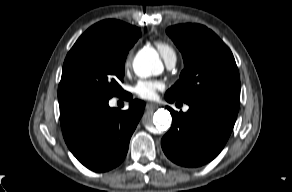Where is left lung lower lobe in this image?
Instances as JSON below:
<instances>
[{
	"instance_id": "left-lung-lower-lobe-1",
	"label": "left lung lower lobe",
	"mask_w": 292,
	"mask_h": 192,
	"mask_svg": "<svg viewBox=\"0 0 292 192\" xmlns=\"http://www.w3.org/2000/svg\"><path fill=\"white\" fill-rule=\"evenodd\" d=\"M165 98L169 103L177 101ZM187 104V113L167 106L173 123L161 145L172 162L192 168L210 162L221 152L233 130L239 103L205 100Z\"/></svg>"
}]
</instances>
